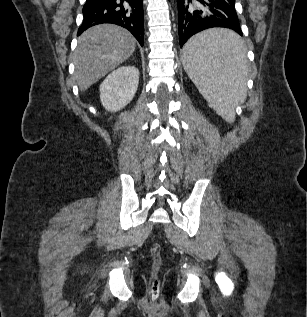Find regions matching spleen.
<instances>
[{"instance_id":"obj_1","label":"spleen","mask_w":307,"mask_h":317,"mask_svg":"<svg viewBox=\"0 0 307 317\" xmlns=\"http://www.w3.org/2000/svg\"><path fill=\"white\" fill-rule=\"evenodd\" d=\"M247 43L225 26H212L184 46L183 66L199 92L225 121L233 123L235 107L246 98Z\"/></svg>"}]
</instances>
